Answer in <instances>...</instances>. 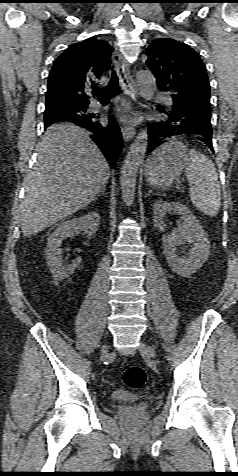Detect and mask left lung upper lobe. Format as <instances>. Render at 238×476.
Segmentation results:
<instances>
[{
    "label": "left lung upper lobe",
    "mask_w": 238,
    "mask_h": 476,
    "mask_svg": "<svg viewBox=\"0 0 238 476\" xmlns=\"http://www.w3.org/2000/svg\"><path fill=\"white\" fill-rule=\"evenodd\" d=\"M147 56L158 88L171 93L173 108L211 114L210 85L199 54L179 41L161 38L149 45Z\"/></svg>",
    "instance_id": "obj_1"
}]
</instances>
